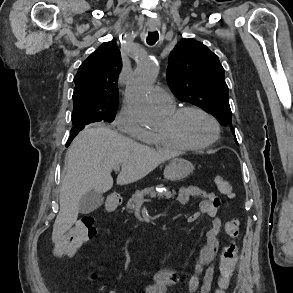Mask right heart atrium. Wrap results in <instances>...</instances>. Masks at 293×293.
<instances>
[{
    "mask_svg": "<svg viewBox=\"0 0 293 293\" xmlns=\"http://www.w3.org/2000/svg\"><path fill=\"white\" fill-rule=\"evenodd\" d=\"M115 127L121 132L140 141H148L151 131L143 127L127 108H122L114 120Z\"/></svg>",
    "mask_w": 293,
    "mask_h": 293,
    "instance_id": "d8ad5b80",
    "label": "right heart atrium"
}]
</instances>
